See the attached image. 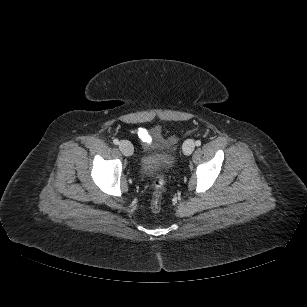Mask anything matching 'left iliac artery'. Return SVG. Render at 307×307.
Here are the masks:
<instances>
[{"label":"left iliac artery","instance_id":"left-iliac-artery-1","mask_svg":"<svg viewBox=\"0 0 307 307\" xmlns=\"http://www.w3.org/2000/svg\"><path fill=\"white\" fill-rule=\"evenodd\" d=\"M195 144H196V146H200V145H201V141H200V140H197V141L195 142Z\"/></svg>","mask_w":307,"mask_h":307}]
</instances>
